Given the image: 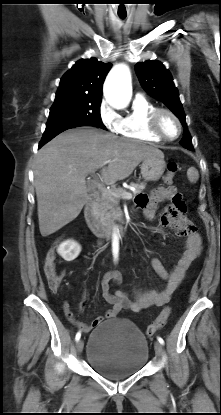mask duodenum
Masks as SVG:
<instances>
[{
	"mask_svg": "<svg viewBox=\"0 0 221 415\" xmlns=\"http://www.w3.org/2000/svg\"><path fill=\"white\" fill-rule=\"evenodd\" d=\"M96 194H92L84 208V217L90 230L98 237L105 238L114 234L123 235L126 228L123 223H103L96 215Z\"/></svg>",
	"mask_w": 221,
	"mask_h": 415,
	"instance_id": "duodenum-1",
	"label": "duodenum"
}]
</instances>
